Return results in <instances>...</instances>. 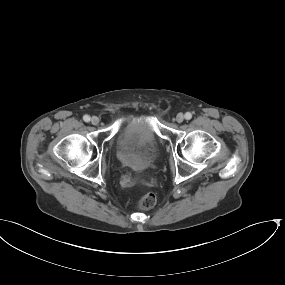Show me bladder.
<instances>
[{
  "mask_svg": "<svg viewBox=\"0 0 285 285\" xmlns=\"http://www.w3.org/2000/svg\"><path fill=\"white\" fill-rule=\"evenodd\" d=\"M114 139L122 164L135 170L151 164L156 140L146 117H135L116 131Z\"/></svg>",
  "mask_w": 285,
  "mask_h": 285,
  "instance_id": "31cf9c89",
  "label": "bladder"
}]
</instances>
